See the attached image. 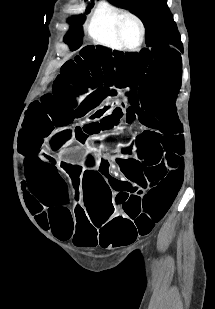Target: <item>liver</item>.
Returning a JSON list of instances; mask_svg holds the SVG:
<instances>
[{"label":"liver","instance_id":"1","mask_svg":"<svg viewBox=\"0 0 215 309\" xmlns=\"http://www.w3.org/2000/svg\"><path fill=\"white\" fill-rule=\"evenodd\" d=\"M89 92H92L91 88H88V92H86V94H80V96H78L77 98L78 102H81V100H84L85 96H87Z\"/></svg>","mask_w":215,"mask_h":309}]
</instances>
